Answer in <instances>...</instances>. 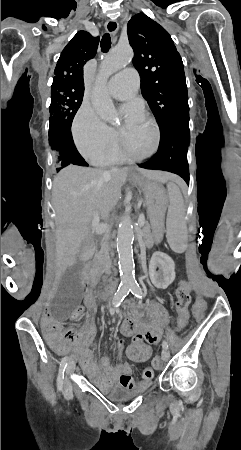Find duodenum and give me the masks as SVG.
<instances>
[{
    "instance_id": "duodenum-1",
    "label": "duodenum",
    "mask_w": 241,
    "mask_h": 450,
    "mask_svg": "<svg viewBox=\"0 0 241 450\" xmlns=\"http://www.w3.org/2000/svg\"><path fill=\"white\" fill-rule=\"evenodd\" d=\"M82 280H83V283L86 285L91 286L93 284V278H92L91 272L89 270L83 271ZM114 288H115L114 282L108 283L104 288V294L106 296L111 295L113 293Z\"/></svg>"
}]
</instances>
